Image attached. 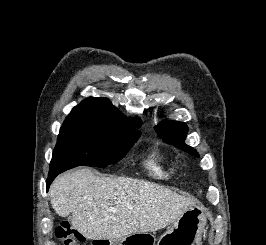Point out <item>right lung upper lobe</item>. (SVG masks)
Wrapping results in <instances>:
<instances>
[{
    "mask_svg": "<svg viewBox=\"0 0 266 245\" xmlns=\"http://www.w3.org/2000/svg\"><path fill=\"white\" fill-rule=\"evenodd\" d=\"M68 117H95L122 125L142 124L139 118L132 119L123 116L107 98H87L76 106Z\"/></svg>",
    "mask_w": 266,
    "mask_h": 245,
    "instance_id": "right-lung-upper-lobe-1",
    "label": "right lung upper lobe"
}]
</instances>
